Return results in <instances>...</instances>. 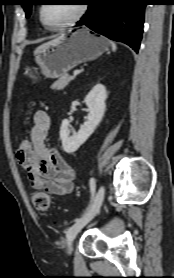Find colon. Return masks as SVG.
<instances>
[{
    "label": "colon",
    "mask_w": 174,
    "mask_h": 278,
    "mask_svg": "<svg viewBox=\"0 0 174 278\" xmlns=\"http://www.w3.org/2000/svg\"><path fill=\"white\" fill-rule=\"evenodd\" d=\"M32 148V141L29 138L21 139L18 143V149L17 151L19 153H25L28 152ZM31 201L34 206V208L39 213H46L50 206V197L47 193L43 191H33L31 194Z\"/></svg>",
    "instance_id": "obj_1"
}]
</instances>
